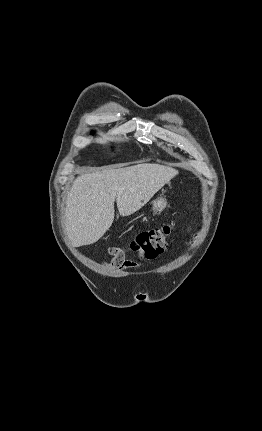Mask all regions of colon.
Segmentation results:
<instances>
[{
    "instance_id": "colon-1",
    "label": "colon",
    "mask_w": 262,
    "mask_h": 431,
    "mask_svg": "<svg viewBox=\"0 0 262 431\" xmlns=\"http://www.w3.org/2000/svg\"><path fill=\"white\" fill-rule=\"evenodd\" d=\"M172 229L171 224H166L156 229L143 231L127 245V249L134 252L141 260L154 259L162 254L168 246ZM109 253L120 262L133 263V261L123 259V253L118 247H110Z\"/></svg>"
}]
</instances>
